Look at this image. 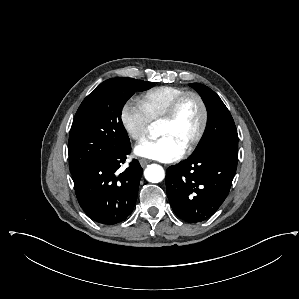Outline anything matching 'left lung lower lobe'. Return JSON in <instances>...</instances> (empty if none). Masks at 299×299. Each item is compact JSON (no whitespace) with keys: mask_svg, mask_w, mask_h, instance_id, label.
Masks as SVG:
<instances>
[{"mask_svg":"<svg viewBox=\"0 0 299 299\" xmlns=\"http://www.w3.org/2000/svg\"><path fill=\"white\" fill-rule=\"evenodd\" d=\"M236 168L237 158L219 152L170 166L165 180L175 214L189 222L210 217L227 197Z\"/></svg>","mask_w":299,"mask_h":299,"instance_id":"0a47b994","label":"left lung lower lobe"}]
</instances>
